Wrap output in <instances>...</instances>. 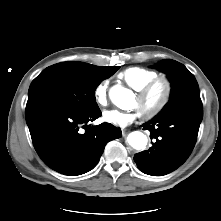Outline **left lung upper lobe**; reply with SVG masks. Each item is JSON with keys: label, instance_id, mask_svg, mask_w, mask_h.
I'll return each mask as SVG.
<instances>
[{"label": "left lung upper lobe", "instance_id": "5c2ea615", "mask_svg": "<svg viewBox=\"0 0 221 221\" xmlns=\"http://www.w3.org/2000/svg\"><path fill=\"white\" fill-rule=\"evenodd\" d=\"M154 67L167 74L172 86L170 100L156 117L201 102L198 83L194 75L183 64L171 59H164Z\"/></svg>", "mask_w": 221, "mask_h": 221}]
</instances>
